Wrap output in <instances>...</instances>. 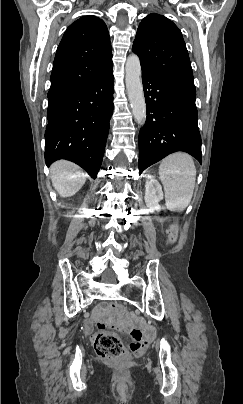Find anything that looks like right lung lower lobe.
Masks as SVG:
<instances>
[{
    "mask_svg": "<svg viewBox=\"0 0 243 404\" xmlns=\"http://www.w3.org/2000/svg\"><path fill=\"white\" fill-rule=\"evenodd\" d=\"M114 77L108 74L73 90L48 96L45 161L66 159L95 179L113 114Z\"/></svg>",
    "mask_w": 243,
    "mask_h": 404,
    "instance_id": "right-lung-lower-lobe-1",
    "label": "right lung lower lobe"
}]
</instances>
